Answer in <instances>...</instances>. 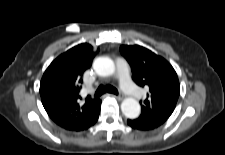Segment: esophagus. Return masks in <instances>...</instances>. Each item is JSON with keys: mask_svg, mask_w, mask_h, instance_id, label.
Listing matches in <instances>:
<instances>
[{"mask_svg": "<svg viewBox=\"0 0 225 155\" xmlns=\"http://www.w3.org/2000/svg\"><path fill=\"white\" fill-rule=\"evenodd\" d=\"M112 97H115L116 99L118 100H122V95L118 94V95H115V94H110Z\"/></svg>", "mask_w": 225, "mask_h": 155, "instance_id": "obj_1", "label": "esophagus"}]
</instances>
